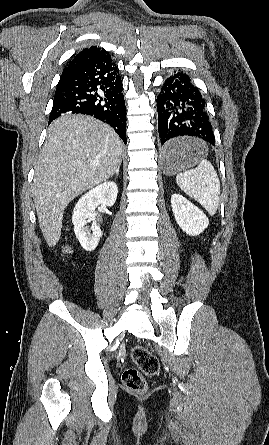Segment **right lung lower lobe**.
Returning a JSON list of instances; mask_svg holds the SVG:
<instances>
[{
	"label": "right lung lower lobe",
	"instance_id": "98d812e1",
	"mask_svg": "<svg viewBox=\"0 0 269 445\" xmlns=\"http://www.w3.org/2000/svg\"><path fill=\"white\" fill-rule=\"evenodd\" d=\"M68 113L91 115L109 124L127 143L122 81L110 55L82 65L60 79L49 123Z\"/></svg>",
	"mask_w": 269,
	"mask_h": 445
}]
</instances>
